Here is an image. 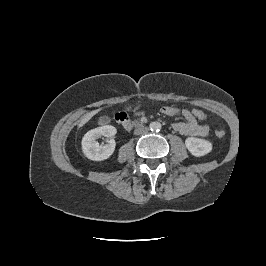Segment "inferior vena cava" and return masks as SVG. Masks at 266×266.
Masks as SVG:
<instances>
[{
	"instance_id": "obj_1",
	"label": "inferior vena cava",
	"mask_w": 266,
	"mask_h": 266,
	"mask_svg": "<svg viewBox=\"0 0 266 266\" xmlns=\"http://www.w3.org/2000/svg\"><path fill=\"white\" fill-rule=\"evenodd\" d=\"M148 129L145 127V128H142V129H140L139 130V133H141V132H146Z\"/></svg>"
}]
</instances>
